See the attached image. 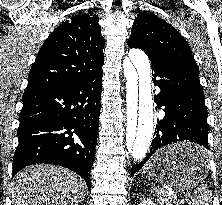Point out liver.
I'll use <instances>...</instances> for the list:
<instances>
[{
    "mask_svg": "<svg viewBox=\"0 0 222 205\" xmlns=\"http://www.w3.org/2000/svg\"><path fill=\"white\" fill-rule=\"evenodd\" d=\"M86 184L60 166L36 164L18 172L12 183V205H80Z\"/></svg>",
    "mask_w": 222,
    "mask_h": 205,
    "instance_id": "obj_1",
    "label": "liver"
}]
</instances>
